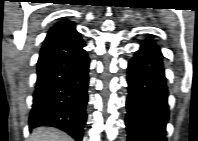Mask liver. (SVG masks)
Returning <instances> with one entry per match:
<instances>
[{
    "instance_id": "1",
    "label": "liver",
    "mask_w": 198,
    "mask_h": 141,
    "mask_svg": "<svg viewBox=\"0 0 198 141\" xmlns=\"http://www.w3.org/2000/svg\"><path fill=\"white\" fill-rule=\"evenodd\" d=\"M30 141H72L67 134L51 127H40L34 129Z\"/></svg>"
}]
</instances>
